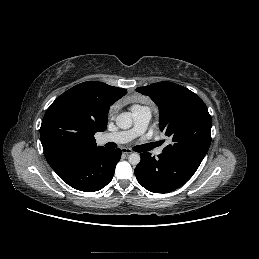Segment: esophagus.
Listing matches in <instances>:
<instances>
[{
    "label": "esophagus",
    "mask_w": 259,
    "mask_h": 259,
    "mask_svg": "<svg viewBox=\"0 0 259 259\" xmlns=\"http://www.w3.org/2000/svg\"><path fill=\"white\" fill-rule=\"evenodd\" d=\"M122 153H123V154H126V155H129V154L132 153V150L129 149V148H122Z\"/></svg>",
    "instance_id": "1"
}]
</instances>
